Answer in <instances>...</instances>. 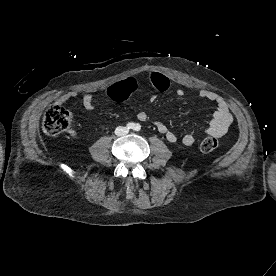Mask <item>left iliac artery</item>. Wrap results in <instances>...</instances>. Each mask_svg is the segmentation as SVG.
Returning a JSON list of instances; mask_svg holds the SVG:
<instances>
[{"label":"left iliac artery","mask_w":276,"mask_h":276,"mask_svg":"<svg viewBox=\"0 0 276 276\" xmlns=\"http://www.w3.org/2000/svg\"><path fill=\"white\" fill-rule=\"evenodd\" d=\"M134 129H135L136 131H140L141 126H140L139 124H136Z\"/></svg>","instance_id":"44dca946"}]
</instances>
